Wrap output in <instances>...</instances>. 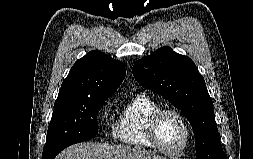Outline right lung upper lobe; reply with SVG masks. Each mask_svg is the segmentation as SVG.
I'll list each match as a JSON object with an SVG mask.
<instances>
[{
    "instance_id": "obj_1",
    "label": "right lung upper lobe",
    "mask_w": 253,
    "mask_h": 159,
    "mask_svg": "<svg viewBox=\"0 0 253 159\" xmlns=\"http://www.w3.org/2000/svg\"><path fill=\"white\" fill-rule=\"evenodd\" d=\"M122 62L100 51L77 60L64 79L57 99L76 96H111L125 78Z\"/></svg>"
}]
</instances>
